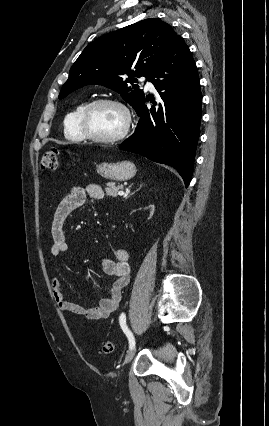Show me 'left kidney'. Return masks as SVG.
Listing matches in <instances>:
<instances>
[{
    "label": "left kidney",
    "instance_id": "5707ae66",
    "mask_svg": "<svg viewBox=\"0 0 269 426\" xmlns=\"http://www.w3.org/2000/svg\"><path fill=\"white\" fill-rule=\"evenodd\" d=\"M147 210L149 212L148 219H150L153 216L154 212H155V206L154 205H149L147 207Z\"/></svg>",
    "mask_w": 269,
    "mask_h": 426
}]
</instances>
